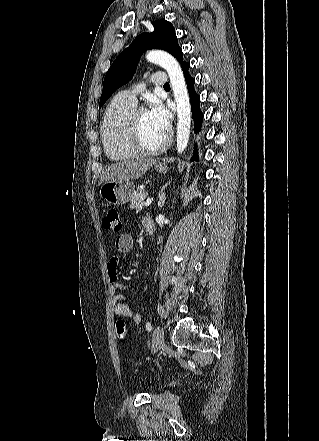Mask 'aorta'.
<instances>
[{"label": "aorta", "mask_w": 319, "mask_h": 441, "mask_svg": "<svg viewBox=\"0 0 319 441\" xmlns=\"http://www.w3.org/2000/svg\"><path fill=\"white\" fill-rule=\"evenodd\" d=\"M146 59L148 62L163 67L169 75L177 103V152L182 154L188 145L191 126L190 101L182 69L177 60L163 50L157 49L149 51L146 55Z\"/></svg>", "instance_id": "1"}]
</instances>
